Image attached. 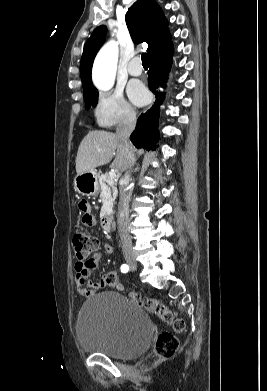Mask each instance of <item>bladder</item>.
I'll list each match as a JSON object with an SVG mask.
<instances>
[{"label":"bladder","mask_w":267,"mask_h":391,"mask_svg":"<svg viewBox=\"0 0 267 391\" xmlns=\"http://www.w3.org/2000/svg\"><path fill=\"white\" fill-rule=\"evenodd\" d=\"M153 331L144 309L114 291L87 300L79 311L76 325L83 350L117 359H131L144 353Z\"/></svg>","instance_id":"1"}]
</instances>
